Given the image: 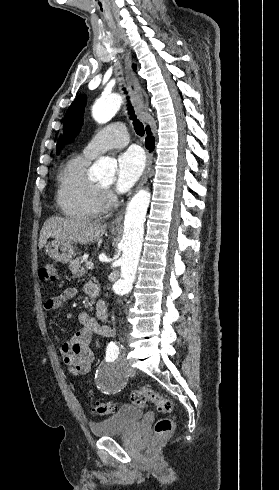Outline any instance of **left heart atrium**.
<instances>
[{"label":"left heart atrium","instance_id":"39dd6f15","mask_svg":"<svg viewBox=\"0 0 279 490\" xmlns=\"http://www.w3.org/2000/svg\"><path fill=\"white\" fill-rule=\"evenodd\" d=\"M144 170L142 154L131 149L121 154L117 160L115 191L124 194L129 191L140 179Z\"/></svg>","mask_w":279,"mask_h":490}]
</instances>
